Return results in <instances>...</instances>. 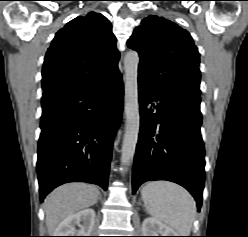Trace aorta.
Masks as SVG:
<instances>
[{
	"instance_id": "762f6f07",
	"label": "aorta",
	"mask_w": 248,
	"mask_h": 237,
	"mask_svg": "<svg viewBox=\"0 0 248 237\" xmlns=\"http://www.w3.org/2000/svg\"><path fill=\"white\" fill-rule=\"evenodd\" d=\"M138 65V53L135 51L127 52L124 58L126 124L121 153V164L123 166L131 163L139 135Z\"/></svg>"
}]
</instances>
